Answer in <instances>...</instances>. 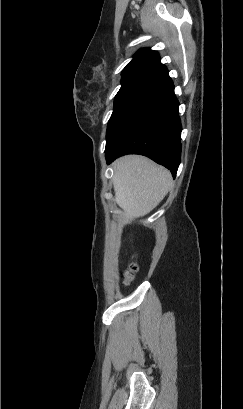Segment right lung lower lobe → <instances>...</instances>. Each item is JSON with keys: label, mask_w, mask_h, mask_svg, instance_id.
<instances>
[{"label": "right lung lower lobe", "mask_w": 243, "mask_h": 409, "mask_svg": "<svg viewBox=\"0 0 243 409\" xmlns=\"http://www.w3.org/2000/svg\"><path fill=\"white\" fill-rule=\"evenodd\" d=\"M170 77L149 94L122 124L105 149L107 164L125 154L145 155L175 178L181 158V122Z\"/></svg>", "instance_id": "right-lung-lower-lobe-1"}]
</instances>
